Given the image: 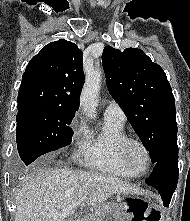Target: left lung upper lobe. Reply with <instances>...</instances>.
I'll return each mask as SVG.
<instances>
[{
	"mask_svg": "<svg viewBox=\"0 0 190 221\" xmlns=\"http://www.w3.org/2000/svg\"><path fill=\"white\" fill-rule=\"evenodd\" d=\"M108 90L149 151L152 163L177 148L175 99L163 69L140 49L106 46Z\"/></svg>",
	"mask_w": 190,
	"mask_h": 221,
	"instance_id": "obj_1",
	"label": "left lung upper lobe"
}]
</instances>
